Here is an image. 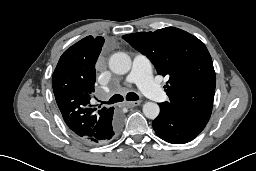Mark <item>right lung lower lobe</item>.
Masks as SVG:
<instances>
[{
    "mask_svg": "<svg viewBox=\"0 0 256 171\" xmlns=\"http://www.w3.org/2000/svg\"><path fill=\"white\" fill-rule=\"evenodd\" d=\"M121 127V117L119 114L114 113L108 123L105 126V129L97 137H87L83 138L84 142L90 144H103L112 139L120 130Z\"/></svg>",
    "mask_w": 256,
    "mask_h": 171,
    "instance_id": "98d812e1",
    "label": "right lung lower lobe"
}]
</instances>
